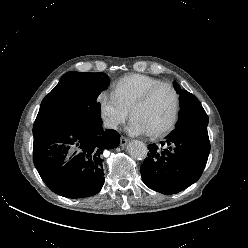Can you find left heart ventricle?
I'll return each mask as SVG.
<instances>
[{"mask_svg":"<svg viewBox=\"0 0 248 248\" xmlns=\"http://www.w3.org/2000/svg\"><path fill=\"white\" fill-rule=\"evenodd\" d=\"M174 108V94L168 87L158 89L148 103L140 109L133 120L139 123L146 133L158 131L171 118Z\"/></svg>","mask_w":248,"mask_h":248,"instance_id":"left-heart-ventricle-1","label":"left heart ventricle"}]
</instances>
